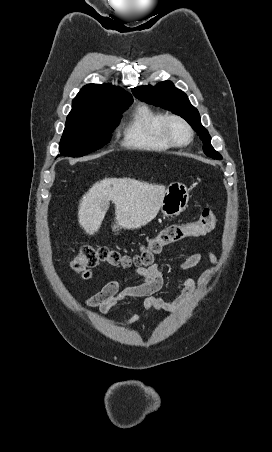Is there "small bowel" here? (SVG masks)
I'll return each mask as SVG.
<instances>
[{
    "label": "small bowel",
    "instance_id": "c3829d8e",
    "mask_svg": "<svg viewBox=\"0 0 272 452\" xmlns=\"http://www.w3.org/2000/svg\"><path fill=\"white\" fill-rule=\"evenodd\" d=\"M202 254L199 251L193 252L179 263L181 270H188L195 267L201 260ZM209 260L212 265H216L217 257L214 253L209 254ZM215 268L208 269L199 281L192 278H183L180 280V295L173 301L167 302L158 297L157 292L166 283V276L156 263L148 267H136L131 272L142 278V282L134 285L122 286L120 279L112 280L106 283L97 293L92 295L87 306L97 309L101 315L107 316L110 309L120 302L132 298H143L146 311L158 310L161 312H175L181 309L197 287L214 274ZM140 319L139 315H133L128 320L120 322L121 325H131Z\"/></svg>",
    "mask_w": 272,
    "mask_h": 452
}]
</instances>
